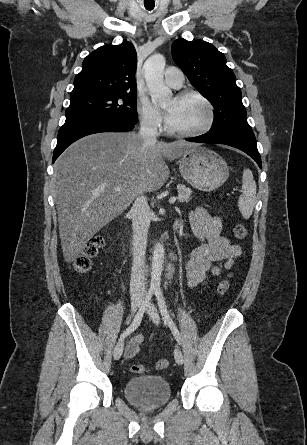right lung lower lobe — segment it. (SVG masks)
I'll use <instances>...</instances> for the list:
<instances>
[{
	"instance_id": "obj_1",
	"label": "right lung lower lobe",
	"mask_w": 307,
	"mask_h": 445,
	"mask_svg": "<svg viewBox=\"0 0 307 445\" xmlns=\"http://www.w3.org/2000/svg\"><path fill=\"white\" fill-rule=\"evenodd\" d=\"M136 122L108 115H77L66 118L58 133V142L53 153V160L73 142L93 133L127 132L134 128Z\"/></svg>"
}]
</instances>
